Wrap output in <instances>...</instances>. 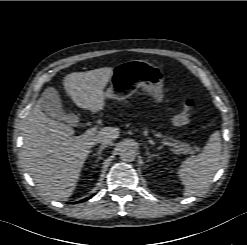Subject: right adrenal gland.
Returning <instances> with one entry per match:
<instances>
[{
	"mask_svg": "<svg viewBox=\"0 0 247 245\" xmlns=\"http://www.w3.org/2000/svg\"><path fill=\"white\" fill-rule=\"evenodd\" d=\"M105 148H106V146H100V147H99V150L97 151V153L94 154V156H98L96 162H98V161L102 158V157H101L102 151H103Z\"/></svg>",
	"mask_w": 247,
	"mask_h": 245,
	"instance_id": "1",
	"label": "right adrenal gland"
}]
</instances>
